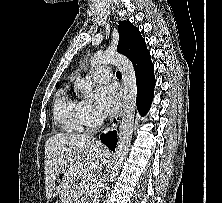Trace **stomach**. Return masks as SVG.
<instances>
[{
  "label": "stomach",
  "instance_id": "stomach-1",
  "mask_svg": "<svg viewBox=\"0 0 222 203\" xmlns=\"http://www.w3.org/2000/svg\"><path fill=\"white\" fill-rule=\"evenodd\" d=\"M64 203H69L70 202V198L69 197H64Z\"/></svg>",
  "mask_w": 222,
  "mask_h": 203
}]
</instances>
